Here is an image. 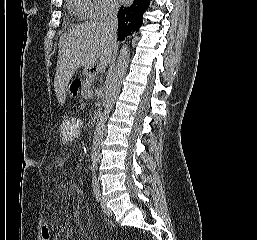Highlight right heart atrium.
<instances>
[{"instance_id": "right-heart-atrium-1", "label": "right heart atrium", "mask_w": 257, "mask_h": 240, "mask_svg": "<svg viewBox=\"0 0 257 240\" xmlns=\"http://www.w3.org/2000/svg\"><path fill=\"white\" fill-rule=\"evenodd\" d=\"M118 10L116 0H91L89 18L94 20L103 19L115 14Z\"/></svg>"}]
</instances>
